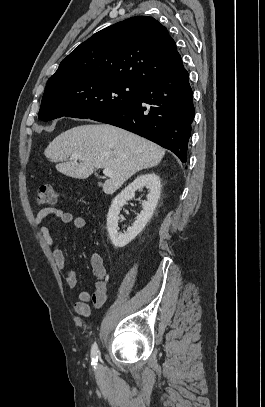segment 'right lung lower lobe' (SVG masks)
Returning a JSON list of instances; mask_svg holds the SVG:
<instances>
[{
  "label": "right lung lower lobe",
  "instance_id": "98d812e1",
  "mask_svg": "<svg viewBox=\"0 0 265 407\" xmlns=\"http://www.w3.org/2000/svg\"><path fill=\"white\" fill-rule=\"evenodd\" d=\"M194 116L193 91L179 57L170 72L144 84L132 103L90 119L143 136L186 163Z\"/></svg>",
  "mask_w": 265,
  "mask_h": 407
}]
</instances>
